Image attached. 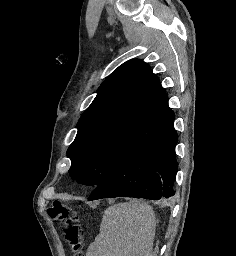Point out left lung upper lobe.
<instances>
[{"label": "left lung upper lobe", "instance_id": "left-lung-upper-lobe-1", "mask_svg": "<svg viewBox=\"0 0 236 256\" xmlns=\"http://www.w3.org/2000/svg\"><path fill=\"white\" fill-rule=\"evenodd\" d=\"M167 103L159 79L145 62L130 60L119 66L77 123V135L67 151L71 178L98 186L135 130Z\"/></svg>", "mask_w": 236, "mask_h": 256}]
</instances>
